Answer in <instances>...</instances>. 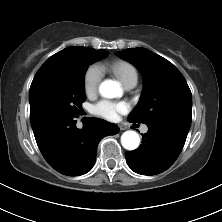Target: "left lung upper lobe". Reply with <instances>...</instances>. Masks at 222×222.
<instances>
[{"mask_svg": "<svg viewBox=\"0 0 222 222\" xmlns=\"http://www.w3.org/2000/svg\"><path fill=\"white\" fill-rule=\"evenodd\" d=\"M137 66L144 79L141 99L128 119L138 123L173 118L188 127L192 119V95L180 71L165 58L146 48L116 53Z\"/></svg>", "mask_w": 222, "mask_h": 222, "instance_id": "5c2ea615", "label": "left lung upper lobe"}]
</instances>
